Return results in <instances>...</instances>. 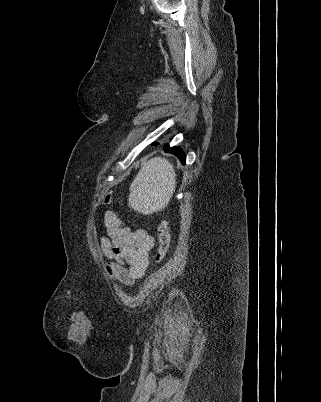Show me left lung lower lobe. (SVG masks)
Returning <instances> with one entry per match:
<instances>
[{
	"label": "left lung lower lobe",
	"instance_id": "left-lung-lower-lobe-1",
	"mask_svg": "<svg viewBox=\"0 0 321 402\" xmlns=\"http://www.w3.org/2000/svg\"><path fill=\"white\" fill-rule=\"evenodd\" d=\"M164 149L166 152L175 155L181 161L182 164H185L186 162L185 154L179 147H169L168 144H165Z\"/></svg>",
	"mask_w": 321,
	"mask_h": 402
}]
</instances>
